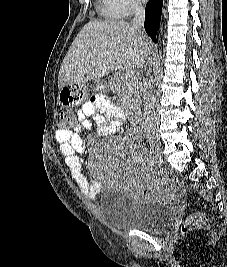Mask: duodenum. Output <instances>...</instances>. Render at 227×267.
<instances>
[{
  "instance_id": "410a0bca",
  "label": "duodenum",
  "mask_w": 227,
  "mask_h": 267,
  "mask_svg": "<svg viewBox=\"0 0 227 267\" xmlns=\"http://www.w3.org/2000/svg\"><path fill=\"white\" fill-rule=\"evenodd\" d=\"M133 119H134L135 121H139V119H140V113H138V112H134V113H133Z\"/></svg>"
}]
</instances>
